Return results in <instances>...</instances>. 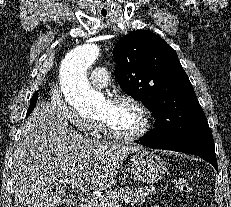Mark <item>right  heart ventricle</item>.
<instances>
[{"label":"right heart ventricle","mask_w":231,"mask_h":207,"mask_svg":"<svg viewBox=\"0 0 231 207\" xmlns=\"http://www.w3.org/2000/svg\"><path fill=\"white\" fill-rule=\"evenodd\" d=\"M92 131H93L92 135H98L100 132V127L95 122H93V124H92Z\"/></svg>","instance_id":"e07e8e85"}]
</instances>
